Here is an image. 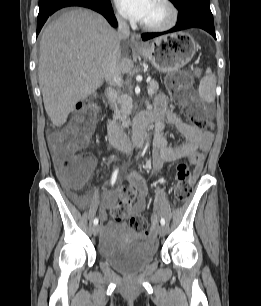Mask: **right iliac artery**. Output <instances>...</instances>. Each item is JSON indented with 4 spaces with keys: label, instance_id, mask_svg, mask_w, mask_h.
Returning a JSON list of instances; mask_svg holds the SVG:
<instances>
[{
    "label": "right iliac artery",
    "instance_id": "82829eb1",
    "mask_svg": "<svg viewBox=\"0 0 261 306\" xmlns=\"http://www.w3.org/2000/svg\"><path fill=\"white\" fill-rule=\"evenodd\" d=\"M117 174H118V170H115L112 174V177H111V184L114 185L115 182H116V178H117ZM94 225H97L98 224V219L95 218L94 221H93Z\"/></svg>",
    "mask_w": 261,
    "mask_h": 306
}]
</instances>
